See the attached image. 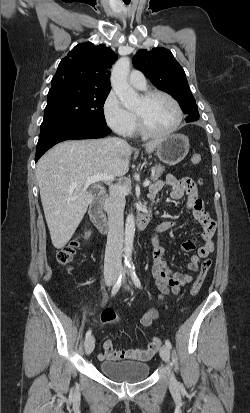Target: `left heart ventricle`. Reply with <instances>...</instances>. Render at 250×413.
Instances as JSON below:
<instances>
[{
  "label": "left heart ventricle",
  "instance_id": "b2bd125f",
  "mask_svg": "<svg viewBox=\"0 0 250 413\" xmlns=\"http://www.w3.org/2000/svg\"><path fill=\"white\" fill-rule=\"evenodd\" d=\"M135 111L143 114L148 127L154 132H166L173 127L177 112L173 104L163 96H154L149 101L140 99Z\"/></svg>",
  "mask_w": 250,
  "mask_h": 413
}]
</instances>
